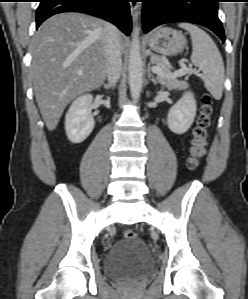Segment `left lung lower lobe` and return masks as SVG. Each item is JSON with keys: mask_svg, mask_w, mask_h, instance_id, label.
<instances>
[{"mask_svg": "<svg viewBox=\"0 0 248 299\" xmlns=\"http://www.w3.org/2000/svg\"><path fill=\"white\" fill-rule=\"evenodd\" d=\"M219 0H143V29L147 33L158 25L171 22H190L212 30L225 42L218 18Z\"/></svg>", "mask_w": 248, "mask_h": 299, "instance_id": "0a47b994", "label": "left lung lower lobe"}]
</instances>
